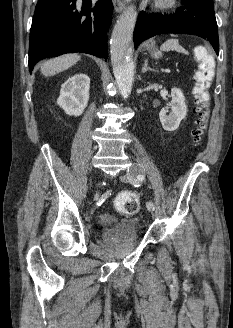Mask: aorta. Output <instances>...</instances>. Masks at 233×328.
Returning <instances> with one entry per match:
<instances>
[{"label":"aorta","mask_w":233,"mask_h":328,"mask_svg":"<svg viewBox=\"0 0 233 328\" xmlns=\"http://www.w3.org/2000/svg\"><path fill=\"white\" fill-rule=\"evenodd\" d=\"M137 19L135 6H129L117 20L110 40L111 59L115 78L124 99L131 92L133 81L132 48L130 40Z\"/></svg>","instance_id":"762f6f07"}]
</instances>
